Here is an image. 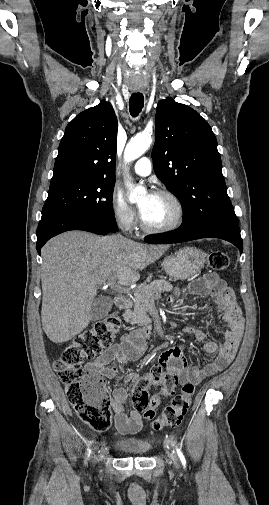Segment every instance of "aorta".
Segmentation results:
<instances>
[{
  "mask_svg": "<svg viewBox=\"0 0 269 505\" xmlns=\"http://www.w3.org/2000/svg\"><path fill=\"white\" fill-rule=\"evenodd\" d=\"M152 143V136L150 133L142 132L133 137L126 145L124 151L125 162L129 163L141 155H143L150 147ZM127 186L130 189L129 201L131 203H137L143 199L146 195V190L142 186H134L132 183L128 182Z\"/></svg>",
  "mask_w": 269,
  "mask_h": 505,
  "instance_id": "1",
  "label": "aorta"
}]
</instances>
